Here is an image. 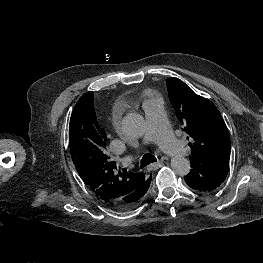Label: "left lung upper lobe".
<instances>
[{"label":"left lung upper lobe","instance_id":"left-lung-upper-lobe-1","mask_svg":"<svg viewBox=\"0 0 263 263\" xmlns=\"http://www.w3.org/2000/svg\"><path fill=\"white\" fill-rule=\"evenodd\" d=\"M170 102L192 143L190 160L211 162L230 158V137L215 105L177 78L166 81ZM187 138V139H189Z\"/></svg>","mask_w":263,"mask_h":263}]
</instances>
